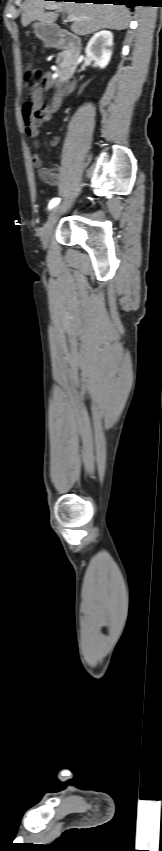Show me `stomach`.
<instances>
[{
	"label": "stomach",
	"instance_id": "obj_1",
	"mask_svg": "<svg viewBox=\"0 0 162 851\" xmlns=\"http://www.w3.org/2000/svg\"><path fill=\"white\" fill-rule=\"evenodd\" d=\"M34 31L38 38L47 43L56 42L59 38V29L54 25L39 22L34 25Z\"/></svg>",
	"mask_w": 162,
	"mask_h": 851
}]
</instances>
